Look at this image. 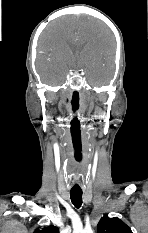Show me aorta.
Listing matches in <instances>:
<instances>
[{
  "label": "aorta",
  "instance_id": "obj_1",
  "mask_svg": "<svg viewBox=\"0 0 148 233\" xmlns=\"http://www.w3.org/2000/svg\"><path fill=\"white\" fill-rule=\"evenodd\" d=\"M79 233H93V231L89 228H85L79 231Z\"/></svg>",
  "mask_w": 148,
  "mask_h": 233
}]
</instances>
